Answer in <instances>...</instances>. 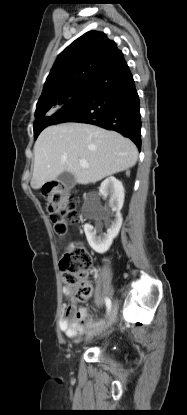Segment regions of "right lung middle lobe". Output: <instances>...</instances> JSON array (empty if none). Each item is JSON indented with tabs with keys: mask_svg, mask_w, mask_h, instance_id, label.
<instances>
[{
	"mask_svg": "<svg viewBox=\"0 0 187 415\" xmlns=\"http://www.w3.org/2000/svg\"><path fill=\"white\" fill-rule=\"evenodd\" d=\"M88 81L68 89L59 101L49 105L36 109L35 121H34V137H38L40 132L47 126L52 124L53 115L51 113L56 109H61L69 100L75 97L77 94L83 92L86 89Z\"/></svg>",
	"mask_w": 187,
	"mask_h": 415,
	"instance_id": "right-lung-middle-lobe-1",
	"label": "right lung middle lobe"
}]
</instances>
